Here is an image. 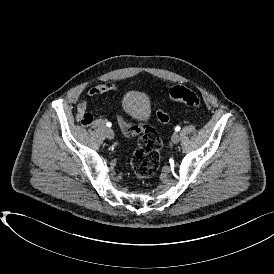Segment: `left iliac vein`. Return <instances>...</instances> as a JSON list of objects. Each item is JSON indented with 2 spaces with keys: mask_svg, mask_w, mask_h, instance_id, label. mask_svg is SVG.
I'll use <instances>...</instances> for the list:
<instances>
[{
  "mask_svg": "<svg viewBox=\"0 0 274 274\" xmlns=\"http://www.w3.org/2000/svg\"><path fill=\"white\" fill-rule=\"evenodd\" d=\"M171 140H172V142H173L174 144L179 143L180 137H179L178 133H174V134L172 135V137H171Z\"/></svg>",
  "mask_w": 274,
  "mask_h": 274,
  "instance_id": "left-iliac-vein-1",
  "label": "left iliac vein"
}]
</instances>
